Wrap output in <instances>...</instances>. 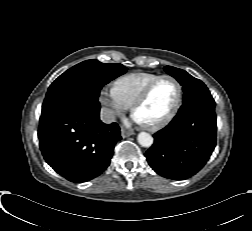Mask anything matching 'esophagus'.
I'll use <instances>...</instances> for the list:
<instances>
[{
	"label": "esophagus",
	"instance_id": "esophagus-1",
	"mask_svg": "<svg viewBox=\"0 0 252 231\" xmlns=\"http://www.w3.org/2000/svg\"><path fill=\"white\" fill-rule=\"evenodd\" d=\"M133 134H134L133 131L126 130V129H122V130H121V136H122L123 138L129 137V136H131V135H133Z\"/></svg>",
	"mask_w": 252,
	"mask_h": 231
}]
</instances>
